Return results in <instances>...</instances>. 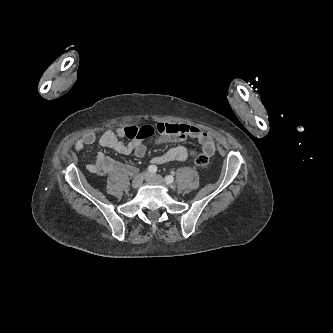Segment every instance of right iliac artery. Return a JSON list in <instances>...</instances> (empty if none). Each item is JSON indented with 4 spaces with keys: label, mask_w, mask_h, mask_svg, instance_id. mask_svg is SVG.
Returning a JSON list of instances; mask_svg holds the SVG:
<instances>
[{
    "label": "right iliac artery",
    "mask_w": 333,
    "mask_h": 333,
    "mask_svg": "<svg viewBox=\"0 0 333 333\" xmlns=\"http://www.w3.org/2000/svg\"><path fill=\"white\" fill-rule=\"evenodd\" d=\"M148 171H149L150 173H155V172L157 171V167H156L155 165H150V166L148 167Z\"/></svg>",
    "instance_id": "right-iliac-artery-1"
}]
</instances>
